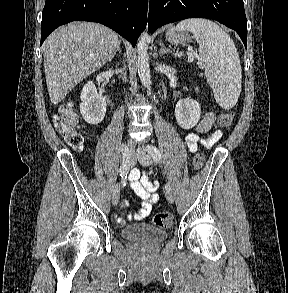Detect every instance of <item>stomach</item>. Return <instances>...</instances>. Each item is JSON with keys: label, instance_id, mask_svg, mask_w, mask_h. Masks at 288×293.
Wrapping results in <instances>:
<instances>
[{"label": "stomach", "instance_id": "1", "mask_svg": "<svg viewBox=\"0 0 288 293\" xmlns=\"http://www.w3.org/2000/svg\"><path fill=\"white\" fill-rule=\"evenodd\" d=\"M166 38L170 43L176 45H185L186 42H189L191 36L186 31H178L174 27L170 28L166 32Z\"/></svg>", "mask_w": 288, "mask_h": 293}]
</instances>
